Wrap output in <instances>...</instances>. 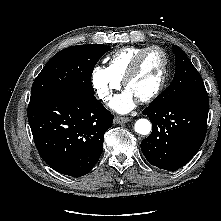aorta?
<instances>
[{
  "mask_svg": "<svg viewBox=\"0 0 221 221\" xmlns=\"http://www.w3.org/2000/svg\"><path fill=\"white\" fill-rule=\"evenodd\" d=\"M134 129L141 135H148L151 131V123L147 119H138L135 123Z\"/></svg>",
  "mask_w": 221,
  "mask_h": 221,
  "instance_id": "aorta-1",
  "label": "aorta"
}]
</instances>
